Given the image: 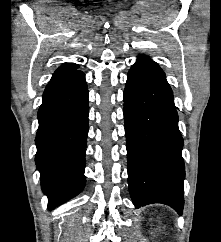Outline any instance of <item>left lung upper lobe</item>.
<instances>
[{"label":"left lung upper lobe","mask_w":221,"mask_h":242,"mask_svg":"<svg viewBox=\"0 0 221 242\" xmlns=\"http://www.w3.org/2000/svg\"><path fill=\"white\" fill-rule=\"evenodd\" d=\"M134 65L150 70L158 76L165 77V74L162 71V69L159 67V65L156 62L150 60L147 56H139L137 62Z\"/></svg>","instance_id":"5c2ea615"}]
</instances>
